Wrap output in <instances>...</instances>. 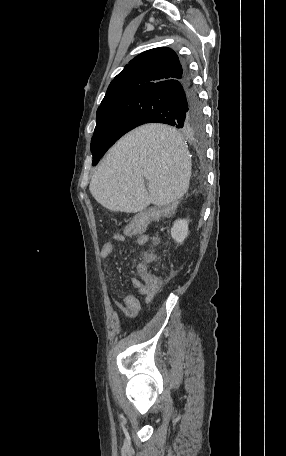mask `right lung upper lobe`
I'll return each mask as SVG.
<instances>
[{"label":"right lung upper lobe","instance_id":"1","mask_svg":"<svg viewBox=\"0 0 286 456\" xmlns=\"http://www.w3.org/2000/svg\"><path fill=\"white\" fill-rule=\"evenodd\" d=\"M183 72L177 54L170 48L145 51L131 60L112 80L100 106L130 96L150 85L176 79Z\"/></svg>","mask_w":286,"mask_h":456}]
</instances>
